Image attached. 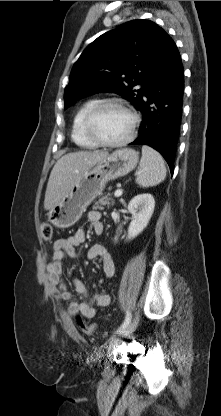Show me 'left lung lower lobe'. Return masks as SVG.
I'll return each mask as SVG.
<instances>
[{"label":"left lung lower lobe","instance_id":"left-lung-lower-lobe-1","mask_svg":"<svg viewBox=\"0 0 221 416\" xmlns=\"http://www.w3.org/2000/svg\"><path fill=\"white\" fill-rule=\"evenodd\" d=\"M184 70L179 51L166 36L138 110L143 115L139 136L130 143L156 149L174 171L177 141L182 118Z\"/></svg>","mask_w":221,"mask_h":416}]
</instances>
